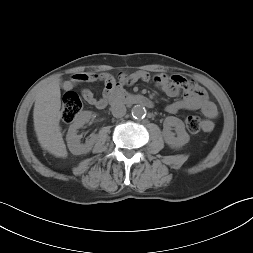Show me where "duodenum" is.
Masks as SVG:
<instances>
[{
    "mask_svg": "<svg viewBox=\"0 0 253 253\" xmlns=\"http://www.w3.org/2000/svg\"><path fill=\"white\" fill-rule=\"evenodd\" d=\"M108 103H121L126 105L139 104L149 108L153 107V102L148 97L140 94L128 93L117 84L111 85L104 92L101 106L104 108Z\"/></svg>",
    "mask_w": 253,
    "mask_h": 253,
    "instance_id": "410a0bca",
    "label": "duodenum"
}]
</instances>
